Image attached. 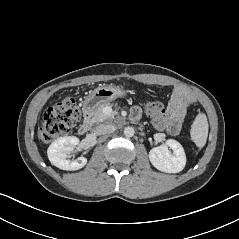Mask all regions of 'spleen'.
<instances>
[{"label": "spleen", "instance_id": "3e777b00", "mask_svg": "<svg viewBox=\"0 0 239 239\" xmlns=\"http://www.w3.org/2000/svg\"><path fill=\"white\" fill-rule=\"evenodd\" d=\"M208 121L204 113L199 112L191 127V138L199 148L204 147L208 136Z\"/></svg>", "mask_w": 239, "mask_h": 239}]
</instances>
